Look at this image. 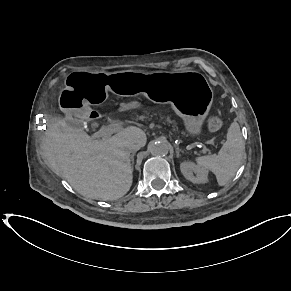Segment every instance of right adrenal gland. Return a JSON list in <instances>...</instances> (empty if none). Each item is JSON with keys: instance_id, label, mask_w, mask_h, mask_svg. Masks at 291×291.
<instances>
[{"instance_id": "2a0ac1e0", "label": "right adrenal gland", "mask_w": 291, "mask_h": 291, "mask_svg": "<svg viewBox=\"0 0 291 291\" xmlns=\"http://www.w3.org/2000/svg\"><path fill=\"white\" fill-rule=\"evenodd\" d=\"M134 155H135V153H133V154L130 155L131 169H132V171H133V165H134Z\"/></svg>"}]
</instances>
